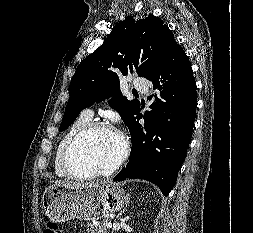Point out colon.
<instances>
[{
	"label": "colon",
	"instance_id": "5ec220e1",
	"mask_svg": "<svg viewBox=\"0 0 253 233\" xmlns=\"http://www.w3.org/2000/svg\"><path fill=\"white\" fill-rule=\"evenodd\" d=\"M43 233H63V232L56 223L49 222L46 224Z\"/></svg>",
	"mask_w": 253,
	"mask_h": 233
}]
</instances>
